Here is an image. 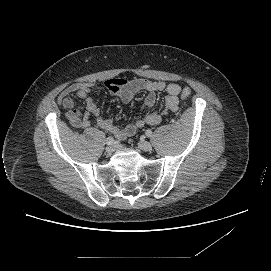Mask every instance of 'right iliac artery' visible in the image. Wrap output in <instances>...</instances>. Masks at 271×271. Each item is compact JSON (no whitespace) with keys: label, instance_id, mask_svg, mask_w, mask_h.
Listing matches in <instances>:
<instances>
[{"label":"right iliac artery","instance_id":"1","mask_svg":"<svg viewBox=\"0 0 271 271\" xmlns=\"http://www.w3.org/2000/svg\"><path fill=\"white\" fill-rule=\"evenodd\" d=\"M113 142H114V138L111 136L106 139V144L108 145H111Z\"/></svg>","mask_w":271,"mask_h":271}]
</instances>
